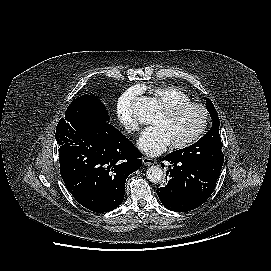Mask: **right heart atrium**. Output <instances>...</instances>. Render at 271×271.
Instances as JSON below:
<instances>
[{"instance_id":"1","label":"right heart atrium","mask_w":271,"mask_h":271,"mask_svg":"<svg viewBox=\"0 0 271 271\" xmlns=\"http://www.w3.org/2000/svg\"><path fill=\"white\" fill-rule=\"evenodd\" d=\"M139 93V88L132 87L122 93L117 100L116 111L118 120L129 133H134L139 130V123L133 113V105Z\"/></svg>"}]
</instances>
